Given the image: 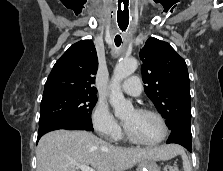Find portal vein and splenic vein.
<instances>
[{
	"mask_svg": "<svg viewBox=\"0 0 223 171\" xmlns=\"http://www.w3.org/2000/svg\"><path fill=\"white\" fill-rule=\"evenodd\" d=\"M76 167L81 171H95L92 167L76 164Z\"/></svg>",
	"mask_w": 223,
	"mask_h": 171,
	"instance_id": "obj_1",
	"label": "portal vein and splenic vein"
}]
</instances>
